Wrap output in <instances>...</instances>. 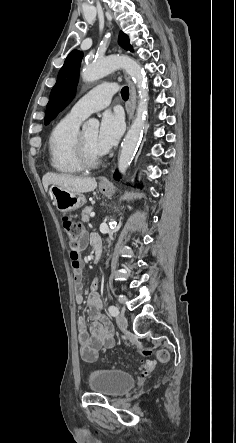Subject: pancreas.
<instances>
[{"label":"pancreas","instance_id":"1","mask_svg":"<svg viewBox=\"0 0 236 443\" xmlns=\"http://www.w3.org/2000/svg\"><path fill=\"white\" fill-rule=\"evenodd\" d=\"M93 208L92 206H86L82 211V221L83 222H89L90 219V213L92 212Z\"/></svg>","mask_w":236,"mask_h":443}]
</instances>
